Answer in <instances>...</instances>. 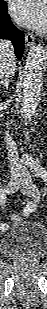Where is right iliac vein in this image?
<instances>
[{"instance_id":"1","label":"right iliac vein","mask_w":47,"mask_h":309,"mask_svg":"<svg viewBox=\"0 0 47 309\" xmlns=\"http://www.w3.org/2000/svg\"><path fill=\"white\" fill-rule=\"evenodd\" d=\"M23 180L21 178L12 177L9 183L6 186L7 193H13L17 188L20 187Z\"/></svg>"}]
</instances>
